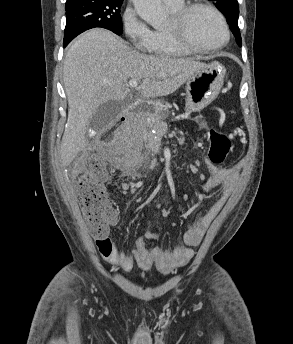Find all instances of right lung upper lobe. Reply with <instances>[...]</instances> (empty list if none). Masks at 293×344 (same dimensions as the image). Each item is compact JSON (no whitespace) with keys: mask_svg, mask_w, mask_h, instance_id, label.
Wrapping results in <instances>:
<instances>
[{"mask_svg":"<svg viewBox=\"0 0 293 344\" xmlns=\"http://www.w3.org/2000/svg\"><path fill=\"white\" fill-rule=\"evenodd\" d=\"M77 1H79V0H67L66 3L68 4V3H71V2H77Z\"/></svg>","mask_w":293,"mask_h":344,"instance_id":"obj_1","label":"right lung upper lobe"}]
</instances>
